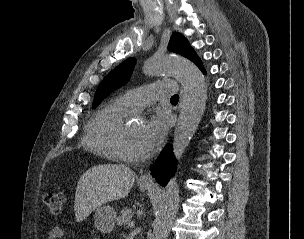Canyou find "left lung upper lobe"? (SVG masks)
<instances>
[{"label": "left lung upper lobe", "instance_id": "5c2ea615", "mask_svg": "<svg viewBox=\"0 0 304 239\" xmlns=\"http://www.w3.org/2000/svg\"><path fill=\"white\" fill-rule=\"evenodd\" d=\"M168 49L172 52L183 55L196 65L201 61L187 39L180 33L174 32L172 34L168 44ZM135 62V58H129L108 73L96 90L92 104L93 108H96L113 90L122 86L129 80Z\"/></svg>", "mask_w": 304, "mask_h": 239}]
</instances>
